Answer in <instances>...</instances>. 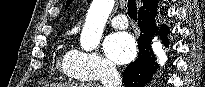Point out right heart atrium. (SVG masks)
I'll use <instances>...</instances> for the list:
<instances>
[{
	"mask_svg": "<svg viewBox=\"0 0 205 87\" xmlns=\"http://www.w3.org/2000/svg\"><path fill=\"white\" fill-rule=\"evenodd\" d=\"M73 65L76 72L87 80H97L116 72V67L96 52L74 50Z\"/></svg>",
	"mask_w": 205,
	"mask_h": 87,
	"instance_id": "obj_1",
	"label": "right heart atrium"
}]
</instances>
